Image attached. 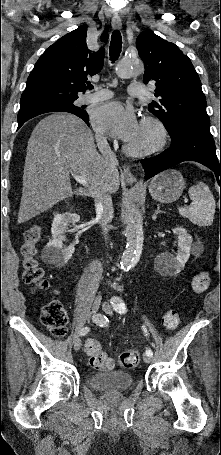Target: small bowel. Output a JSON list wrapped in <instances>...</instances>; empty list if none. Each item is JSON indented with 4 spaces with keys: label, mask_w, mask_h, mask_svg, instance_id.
I'll list each match as a JSON object with an SVG mask.
<instances>
[{
    "label": "small bowel",
    "mask_w": 221,
    "mask_h": 455,
    "mask_svg": "<svg viewBox=\"0 0 221 455\" xmlns=\"http://www.w3.org/2000/svg\"><path fill=\"white\" fill-rule=\"evenodd\" d=\"M61 294V290L60 289H53L50 291V295H59Z\"/></svg>",
    "instance_id": "obj_1"
}]
</instances>
